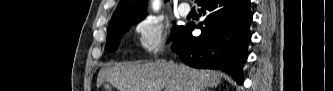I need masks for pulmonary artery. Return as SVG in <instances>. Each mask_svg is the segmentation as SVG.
Returning a JSON list of instances; mask_svg holds the SVG:
<instances>
[{"label":"pulmonary artery","mask_w":333,"mask_h":91,"mask_svg":"<svg viewBox=\"0 0 333 91\" xmlns=\"http://www.w3.org/2000/svg\"><path fill=\"white\" fill-rule=\"evenodd\" d=\"M190 6L187 3H182L179 8L178 12L181 16H187L190 13Z\"/></svg>","instance_id":"e3ab8cb5"}]
</instances>
